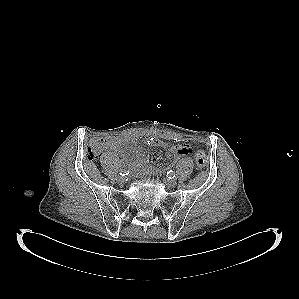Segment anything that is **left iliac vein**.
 Returning a JSON list of instances; mask_svg holds the SVG:
<instances>
[{
  "instance_id": "left-iliac-vein-1",
  "label": "left iliac vein",
  "mask_w": 299,
  "mask_h": 299,
  "mask_svg": "<svg viewBox=\"0 0 299 299\" xmlns=\"http://www.w3.org/2000/svg\"><path fill=\"white\" fill-rule=\"evenodd\" d=\"M164 183H165V185H166L167 187H169V188H173V187H175V185H176V180H175V179L167 178V179L164 180Z\"/></svg>"
}]
</instances>
